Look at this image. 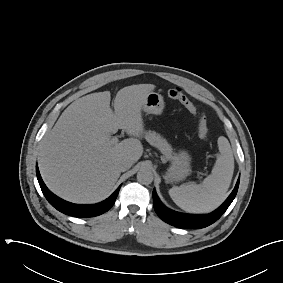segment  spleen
Listing matches in <instances>:
<instances>
[{
  "label": "spleen",
  "instance_id": "1",
  "mask_svg": "<svg viewBox=\"0 0 283 283\" xmlns=\"http://www.w3.org/2000/svg\"><path fill=\"white\" fill-rule=\"evenodd\" d=\"M219 156L212 172L200 184L172 187L169 195L181 209L192 213H207L226 198L234 172V157L227 138H218Z\"/></svg>",
  "mask_w": 283,
  "mask_h": 283
}]
</instances>
